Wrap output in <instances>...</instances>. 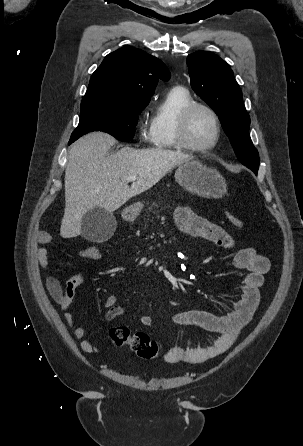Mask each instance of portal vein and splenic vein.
<instances>
[{
  "label": "portal vein and splenic vein",
  "instance_id": "1",
  "mask_svg": "<svg viewBox=\"0 0 303 446\" xmlns=\"http://www.w3.org/2000/svg\"><path fill=\"white\" fill-rule=\"evenodd\" d=\"M137 179L136 176H129L126 178L127 181H135Z\"/></svg>",
  "mask_w": 303,
  "mask_h": 446
}]
</instances>
